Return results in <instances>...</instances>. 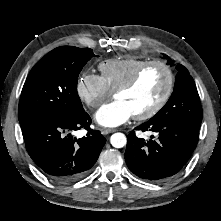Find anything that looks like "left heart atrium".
Returning <instances> with one entry per match:
<instances>
[{
    "mask_svg": "<svg viewBox=\"0 0 221 221\" xmlns=\"http://www.w3.org/2000/svg\"><path fill=\"white\" fill-rule=\"evenodd\" d=\"M133 116L130 107L122 100L115 99L103 105L95 115L96 122L104 127H116Z\"/></svg>",
    "mask_w": 221,
    "mask_h": 221,
    "instance_id": "left-heart-atrium-1",
    "label": "left heart atrium"
}]
</instances>
